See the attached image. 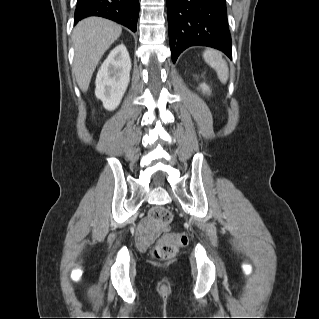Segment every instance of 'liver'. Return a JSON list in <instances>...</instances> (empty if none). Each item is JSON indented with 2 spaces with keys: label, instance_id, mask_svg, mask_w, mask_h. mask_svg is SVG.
<instances>
[{
  "label": "liver",
  "instance_id": "6515ba94",
  "mask_svg": "<svg viewBox=\"0 0 319 319\" xmlns=\"http://www.w3.org/2000/svg\"><path fill=\"white\" fill-rule=\"evenodd\" d=\"M121 33L120 25L101 17L86 18L74 28L72 34L75 50L73 72L83 92L88 90L99 60Z\"/></svg>",
  "mask_w": 319,
  "mask_h": 319
}]
</instances>
